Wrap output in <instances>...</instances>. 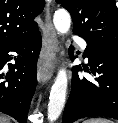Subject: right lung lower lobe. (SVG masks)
<instances>
[{"label":"right lung lower lobe","instance_id":"right-lung-lower-lobe-1","mask_svg":"<svg viewBox=\"0 0 118 123\" xmlns=\"http://www.w3.org/2000/svg\"><path fill=\"white\" fill-rule=\"evenodd\" d=\"M40 50L39 31L26 40L0 46V112L20 123L27 122L30 102L36 88V65ZM9 52H16L18 57H14L15 65L8 64L9 71L6 73L4 66L13 58Z\"/></svg>","mask_w":118,"mask_h":123}]
</instances>
